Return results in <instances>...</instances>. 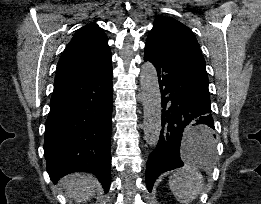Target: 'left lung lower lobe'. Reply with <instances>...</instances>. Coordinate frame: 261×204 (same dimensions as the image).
<instances>
[{
  "mask_svg": "<svg viewBox=\"0 0 261 204\" xmlns=\"http://www.w3.org/2000/svg\"><path fill=\"white\" fill-rule=\"evenodd\" d=\"M144 60L157 70L163 108L160 139L146 166V185L151 192L161 173L183 166V155L209 153L198 142L213 139L215 127L205 69L155 41H146Z\"/></svg>",
  "mask_w": 261,
  "mask_h": 204,
  "instance_id": "0a47b994",
  "label": "left lung lower lobe"
}]
</instances>
